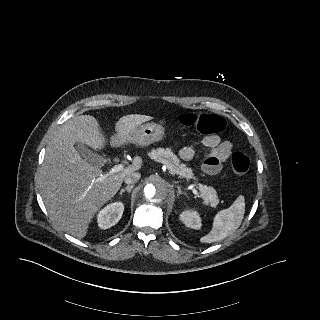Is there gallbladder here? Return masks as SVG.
Segmentation results:
<instances>
[{
	"mask_svg": "<svg viewBox=\"0 0 320 320\" xmlns=\"http://www.w3.org/2000/svg\"><path fill=\"white\" fill-rule=\"evenodd\" d=\"M75 150L79 153V155L85 159L88 163L93 165H98L100 163V157L98 154L94 153L86 146L81 143H76L74 145Z\"/></svg>",
	"mask_w": 320,
	"mask_h": 320,
	"instance_id": "obj_1",
	"label": "gallbladder"
}]
</instances>
